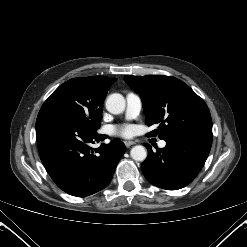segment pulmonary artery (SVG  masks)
<instances>
[{"label":"pulmonary artery","mask_w":247,"mask_h":247,"mask_svg":"<svg viewBox=\"0 0 247 247\" xmlns=\"http://www.w3.org/2000/svg\"><path fill=\"white\" fill-rule=\"evenodd\" d=\"M142 109V100L141 97L133 92H129L126 95V113L125 116L127 119L136 118ZM159 147L163 148L166 146V142L164 140L159 141Z\"/></svg>","instance_id":"e3ab8cb5"}]
</instances>
